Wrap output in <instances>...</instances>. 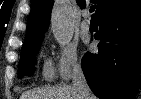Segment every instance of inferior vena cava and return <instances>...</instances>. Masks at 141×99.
Returning <instances> with one entry per match:
<instances>
[{
	"mask_svg": "<svg viewBox=\"0 0 141 99\" xmlns=\"http://www.w3.org/2000/svg\"><path fill=\"white\" fill-rule=\"evenodd\" d=\"M72 82H73L74 88L79 93L80 99H96L87 84V81L85 79V76L80 64H76L73 67Z\"/></svg>",
	"mask_w": 141,
	"mask_h": 99,
	"instance_id": "inferior-vena-cava-1",
	"label": "inferior vena cava"
}]
</instances>
